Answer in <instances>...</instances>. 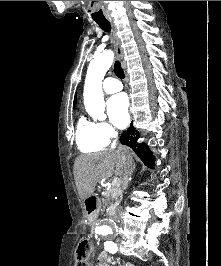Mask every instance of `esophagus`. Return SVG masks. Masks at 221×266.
<instances>
[{
    "label": "esophagus",
    "instance_id": "1",
    "mask_svg": "<svg viewBox=\"0 0 221 266\" xmlns=\"http://www.w3.org/2000/svg\"><path fill=\"white\" fill-rule=\"evenodd\" d=\"M110 22V25L112 27V31H113V37H114V41H115V47H116V54H117V57L122 60L123 59V56H124V53H123V49H122V46H121V40L118 36V33H117V28L114 24V21L112 19L109 20Z\"/></svg>",
    "mask_w": 221,
    "mask_h": 266
}]
</instances>
